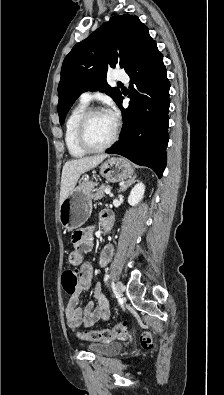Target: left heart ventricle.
I'll use <instances>...</instances> for the list:
<instances>
[{
	"label": "left heart ventricle",
	"mask_w": 224,
	"mask_h": 395,
	"mask_svg": "<svg viewBox=\"0 0 224 395\" xmlns=\"http://www.w3.org/2000/svg\"><path fill=\"white\" fill-rule=\"evenodd\" d=\"M115 122L104 112L93 115L87 125V139L93 146L104 145L112 136Z\"/></svg>",
	"instance_id": "left-heart-ventricle-1"
}]
</instances>
